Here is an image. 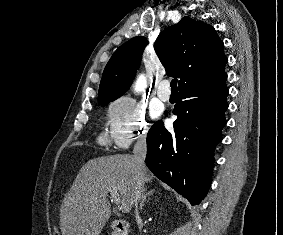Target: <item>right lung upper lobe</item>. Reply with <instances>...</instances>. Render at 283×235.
Segmentation results:
<instances>
[{
	"label": "right lung upper lobe",
	"instance_id": "right-lung-upper-lobe-1",
	"mask_svg": "<svg viewBox=\"0 0 283 235\" xmlns=\"http://www.w3.org/2000/svg\"><path fill=\"white\" fill-rule=\"evenodd\" d=\"M146 44L144 37H134L114 52L100 82L99 103L113 101L128 90ZM154 48L166 73L180 78L179 88L223 72L228 62L215 29L187 16L161 32Z\"/></svg>",
	"mask_w": 283,
	"mask_h": 235
}]
</instances>
